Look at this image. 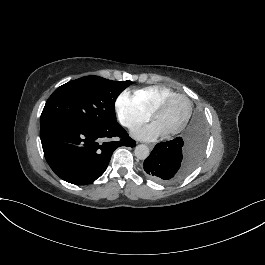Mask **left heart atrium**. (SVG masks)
Masks as SVG:
<instances>
[{
    "label": "left heart atrium",
    "mask_w": 265,
    "mask_h": 265,
    "mask_svg": "<svg viewBox=\"0 0 265 265\" xmlns=\"http://www.w3.org/2000/svg\"><path fill=\"white\" fill-rule=\"evenodd\" d=\"M163 132L156 123L150 124L141 130H138L134 135L142 139H153L161 135Z\"/></svg>",
    "instance_id": "39dd6f15"
}]
</instances>
